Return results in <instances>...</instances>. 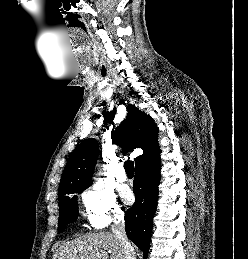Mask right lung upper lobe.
<instances>
[{"instance_id":"obj_1","label":"right lung upper lobe","mask_w":248,"mask_h":259,"mask_svg":"<svg viewBox=\"0 0 248 259\" xmlns=\"http://www.w3.org/2000/svg\"><path fill=\"white\" fill-rule=\"evenodd\" d=\"M127 111L126 118L112 135L113 141L127 150L143 149V154L135 158V163L144 157L158 154L160 152L156 142L158 128L152 118L131 104L127 106ZM98 154V143L93 138H88L78 145L63 171L59 197L91 184Z\"/></svg>"}]
</instances>
